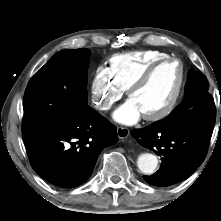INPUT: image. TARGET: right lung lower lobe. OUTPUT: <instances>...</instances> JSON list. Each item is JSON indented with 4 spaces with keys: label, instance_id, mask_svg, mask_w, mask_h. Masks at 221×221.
Returning a JSON list of instances; mask_svg holds the SVG:
<instances>
[{
    "label": "right lung lower lobe",
    "instance_id": "obj_1",
    "mask_svg": "<svg viewBox=\"0 0 221 221\" xmlns=\"http://www.w3.org/2000/svg\"><path fill=\"white\" fill-rule=\"evenodd\" d=\"M30 164L49 183L73 188L91 176L102 149L118 141L116 128L91 107L70 123L23 135Z\"/></svg>",
    "mask_w": 221,
    "mask_h": 221
}]
</instances>
